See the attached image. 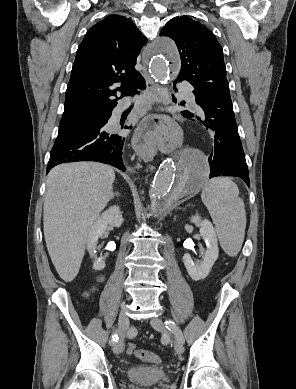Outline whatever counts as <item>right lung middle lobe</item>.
<instances>
[{
  "mask_svg": "<svg viewBox=\"0 0 296 389\" xmlns=\"http://www.w3.org/2000/svg\"><path fill=\"white\" fill-rule=\"evenodd\" d=\"M105 116L107 115H80L62 118L59 125L58 138L90 130L100 124Z\"/></svg>",
  "mask_w": 296,
  "mask_h": 389,
  "instance_id": "right-lung-middle-lobe-1",
  "label": "right lung middle lobe"
}]
</instances>
